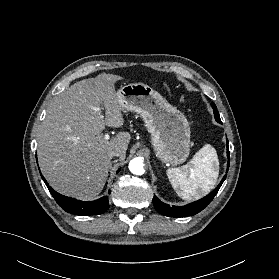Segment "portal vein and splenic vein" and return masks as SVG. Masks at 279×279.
<instances>
[{
  "mask_svg": "<svg viewBox=\"0 0 279 279\" xmlns=\"http://www.w3.org/2000/svg\"><path fill=\"white\" fill-rule=\"evenodd\" d=\"M104 139H105V140H109V139H110L109 134H105V135H104Z\"/></svg>",
  "mask_w": 279,
  "mask_h": 279,
  "instance_id": "18ae733b",
  "label": "portal vein and splenic vein"
}]
</instances>
